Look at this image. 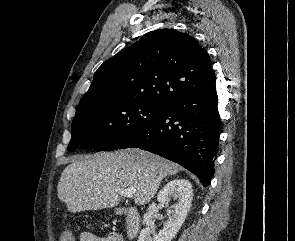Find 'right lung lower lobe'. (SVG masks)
I'll return each mask as SVG.
<instances>
[{
	"label": "right lung lower lobe",
	"mask_w": 295,
	"mask_h": 241,
	"mask_svg": "<svg viewBox=\"0 0 295 241\" xmlns=\"http://www.w3.org/2000/svg\"><path fill=\"white\" fill-rule=\"evenodd\" d=\"M216 85L175 97L117 149L141 148L179 163L204 186L214 174L220 135Z\"/></svg>",
	"instance_id": "obj_1"
}]
</instances>
